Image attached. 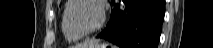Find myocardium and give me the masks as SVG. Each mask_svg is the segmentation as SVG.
<instances>
[{"label": "myocardium", "mask_w": 213, "mask_h": 48, "mask_svg": "<svg viewBox=\"0 0 213 48\" xmlns=\"http://www.w3.org/2000/svg\"><path fill=\"white\" fill-rule=\"evenodd\" d=\"M81 1L92 2V3L96 4L98 6L99 10H100V20H99L98 24L94 28L87 30V31H82V30L77 29L72 24L71 19H70V14H71L73 7L75 6L76 3L81 2ZM64 19H65V23H66L67 28L69 29V31L72 34L79 36L81 38L86 37V36H90V35L97 33L103 27V25L106 21L105 6H104L103 2L99 1V0H70V1H68V5H67V8H66Z\"/></svg>", "instance_id": "1"}]
</instances>
